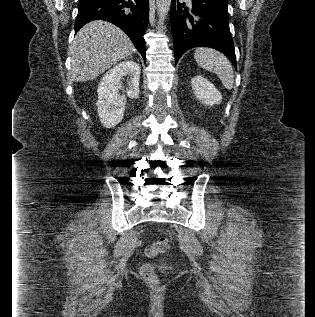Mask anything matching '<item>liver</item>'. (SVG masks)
<instances>
[{
	"label": "liver",
	"instance_id": "6515ba94",
	"mask_svg": "<svg viewBox=\"0 0 315 317\" xmlns=\"http://www.w3.org/2000/svg\"><path fill=\"white\" fill-rule=\"evenodd\" d=\"M134 50L130 39L117 26L105 21L90 22L76 34L69 48L71 80L96 79Z\"/></svg>",
	"mask_w": 315,
	"mask_h": 317
}]
</instances>
